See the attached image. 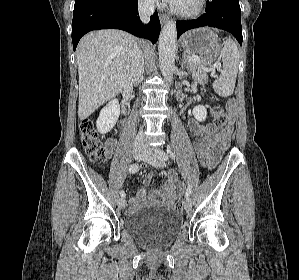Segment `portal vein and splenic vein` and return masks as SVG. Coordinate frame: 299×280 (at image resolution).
<instances>
[{"mask_svg": "<svg viewBox=\"0 0 299 280\" xmlns=\"http://www.w3.org/2000/svg\"><path fill=\"white\" fill-rule=\"evenodd\" d=\"M189 61H191V62H199L200 59L198 57L192 56L191 58H189ZM216 67H218V66L217 65H213L210 68H206V67L203 66V70L206 71V72H210V71H213Z\"/></svg>", "mask_w": 299, "mask_h": 280, "instance_id": "18ae733b", "label": "portal vein and splenic vein"}]
</instances>
